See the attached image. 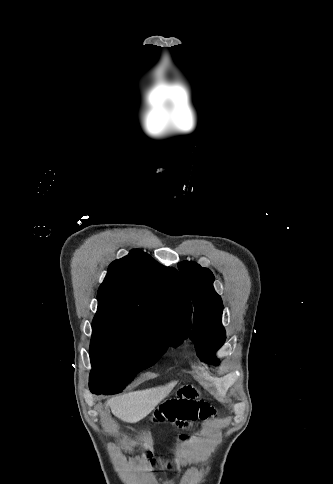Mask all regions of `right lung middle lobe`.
<instances>
[{
  "label": "right lung middle lobe",
  "mask_w": 333,
  "mask_h": 484,
  "mask_svg": "<svg viewBox=\"0 0 333 484\" xmlns=\"http://www.w3.org/2000/svg\"><path fill=\"white\" fill-rule=\"evenodd\" d=\"M188 334L175 323L161 327L121 317L95 316L92 322L90 389L114 394L135 375L152 366L168 346Z\"/></svg>",
  "instance_id": "1"
}]
</instances>
